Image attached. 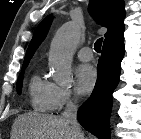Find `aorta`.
I'll return each mask as SVG.
<instances>
[{"label": "aorta", "instance_id": "762f6f07", "mask_svg": "<svg viewBox=\"0 0 141 139\" xmlns=\"http://www.w3.org/2000/svg\"><path fill=\"white\" fill-rule=\"evenodd\" d=\"M79 37L76 23L68 22L58 29L51 42L49 66L53 71V79L59 84H69L73 80L71 63Z\"/></svg>", "mask_w": 141, "mask_h": 139}]
</instances>
